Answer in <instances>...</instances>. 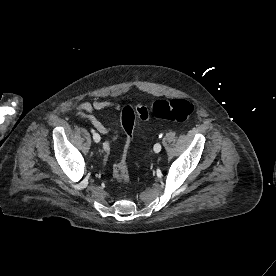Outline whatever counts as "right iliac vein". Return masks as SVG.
Masks as SVG:
<instances>
[{
    "label": "right iliac vein",
    "instance_id": "obj_1",
    "mask_svg": "<svg viewBox=\"0 0 276 276\" xmlns=\"http://www.w3.org/2000/svg\"><path fill=\"white\" fill-rule=\"evenodd\" d=\"M99 137V134L98 133H94L93 134V139H94V141L96 142V138H98Z\"/></svg>",
    "mask_w": 276,
    "mask_h": 276
}]
</instances>
